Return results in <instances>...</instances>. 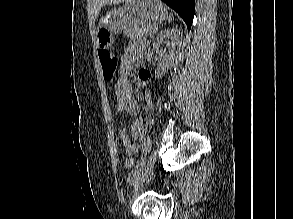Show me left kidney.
<instances>
[{"mask_svg": "<svg viewBox=\"0 0 293 219\" xmlns=\"http://www.w3.org/2000/svg\"><path fill=\"white\" fill-rule=\"evenodd\" d=\"M182 36L183 33L179 29H165L157 35L153 42V49L159 56V65L155 72L156 77H161L172 65L176 58L177 49L180 46ZM164 39H171V41H166L168 51L161 48Z\"/></svg>", "mask_w": 293, "mask_h": 219, "instance_id": "left-kidney-1", "label": "left kidney"}]
</instances>
